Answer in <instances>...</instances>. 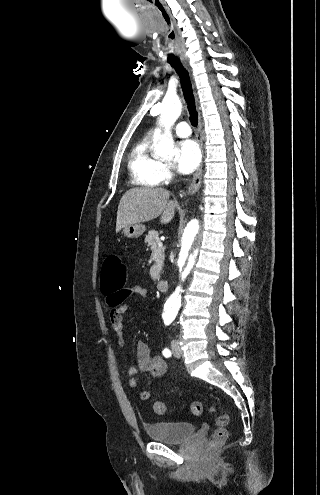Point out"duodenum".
<instances>
[{
  "mask_svg": "<svg viewBox=\"0 0 320 495\" xmlns=\"http://www.w3.org/2000/svg\"><path fill=\"white\" fill-rule=\"evenodd\" d=\"M157 288L161 291V292H166L169 288V284L166 280H160L157 284Z\"/></svg>",
  "mask_w": 320,
  "mask_h": 495,
  "instance_id": "1",
  "label": "duodenum"
}]
</instances>
